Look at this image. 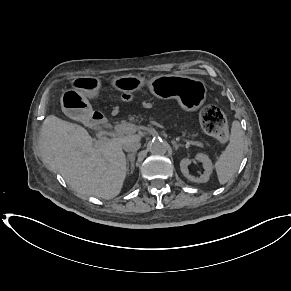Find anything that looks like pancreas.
Segmentation results:
<instances>
[{"instance_id": "obj_1", "label": "pancreas", "mask_w": 291, "mask_h": 291, "mask_svg": "<svg viewBox=\"0 0 291 291\" xmlns=\"http://www.w3.org/2000/svg\"><path fill=\"white\" fill-rule=\"evenodd\" d=\"M157 118H160V121H164L165 119H167V117H162V116H157ZM152 119H155V117L150 116L149 120H152ZM129 120L133 123H140L143 120H147V115H141V114L132 115L129 117ZM173 127L176 128L179 132H181L182 136H186L192 139L198 136L197 133L189 131V129H187L185 126H178L176 123H174Z\"/></svg>"}]
</instances>
